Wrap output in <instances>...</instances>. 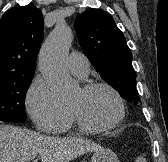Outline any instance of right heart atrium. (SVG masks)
I'll return each instance as SVG.
<instances>
[{
  "label": "right heart atrium",
  "mask_w": 168,
  "mask_h": 162,
  "mask_svg": "<svg viewBox=\"0 0 168 162\" xmlns=\"http://www.w3.org/2000/svg\"><path fill=\"white\" fill-rule=\"evenodd\" d=\"M28 114L37 129L44 133H57L70 121V111L62 104L47 82L36 78L25 98Z\"/></svg>",
  "instance_id": "1"
}]
</instances>
